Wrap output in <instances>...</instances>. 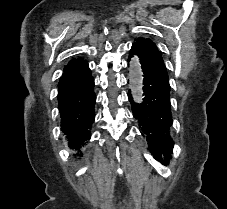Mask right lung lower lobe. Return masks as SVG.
Segmentation results:
<instances>
[{
    "instance_id": "98d812e1",
    "label": "right lung lower lobe",
    "mask_w": 227,
    "mask_h": 209,
    "mask_svg": "<svg viewBox=\"0 0 227 209\" xmlns=\"http://www.w3.org/2000/svg\"><path fill=\"white\" fill-rule=\"evenodd\" d=\"M58 88L61 130L69 147L79 149L90 139L92 123L95 120L94 79L87 62L82 65H68L60 78Z\"/></svg>"
}]
</instances>
